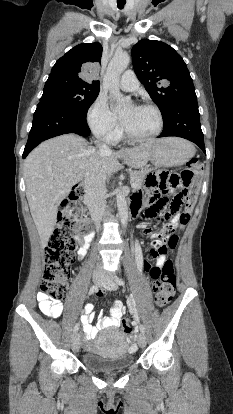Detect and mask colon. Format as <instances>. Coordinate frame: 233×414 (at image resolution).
I'll use <instances>...</instances> for the list:
<instances>
[{
	"instance_id": "1",
	"label": "colon",
	"mask_w": 233,
	"mask_h": 414,
	"mask_svg": "<svg viewBox=\"0 0 233 414\" xmlns=\"http://www.w3.org/2000/svg\"><path fill=\"white\" fill-rule=\"evenodd\" d=\"M203 172V166L196 158L188 161L186 169L180 174L159 170L149 174L145 181L146 191L152 194L149 212L155 215L167 203V196L173 195L170 212L180 214V224L186 225L190 220L191 210L196 202L198 178ZM85 195L84 186L75 185L63 202L59 211L57 224L53 229L45 249V271L41 284L43 293L54 299L63 297L67 291V281L71 276V266L75 258V241L70 230L85 232L90 228L89 223L82 217L81 200ZM178 244V236L170 234L165 243H154L153 256L158 257L174 251ZM149 274L154 279L155 303L166 307L172 300L177 284V276L173 262L165 260L158 268L151 266ZM125 334L132 333V327L127 320L122 322Z\"/></svg>"
}]
</instances>
